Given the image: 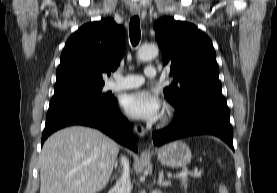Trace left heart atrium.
Listing matches in <instances>:
<instances>
[{
    "label": "left heart atrium",
    "instance_id": "1",
    "mask_svg": "<svg viewBox=\"0 0 277 193\" xmlns=\"http://www.w3.org/2000/svg\"><path fill=\"white\" fill-rule=\"evenodd\" d=\"M122 106L128 116L145 121L156 120L162 108L159 97L147 90H139L125 95Z\"/></svg>",
    "mask_w": 277,
    "mask_h": 193
}]
</instances>
